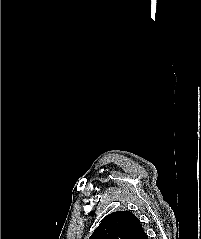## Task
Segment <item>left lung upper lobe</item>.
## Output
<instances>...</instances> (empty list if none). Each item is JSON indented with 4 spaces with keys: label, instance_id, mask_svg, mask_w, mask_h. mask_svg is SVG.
I'll list each match as a JSON object with an SVG mask.
<instances>
[{
    "label": "left lung upper lobe",
    "instance_id": "obj_1",
    "mask_svg": "<svg viewBox=\"0 0 201 239\" xmlns=\"http://www.w3.org/2000/svg\"><path fill=\"white\" fill-rule=\"evenodd\" d=\"M89 239H148V236L134 214L119 211L105 216Z\"/></svg>",
    "mask_w": 201,
    "mask_h": 239
}]
</instances>
